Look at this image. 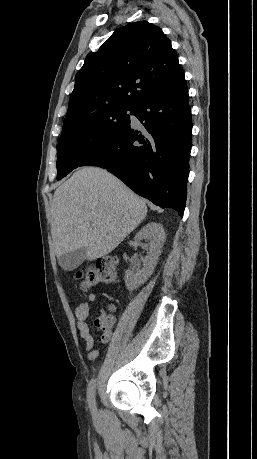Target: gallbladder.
Segmentation results:
<instances>
[{"label": "gallbladder", "mask_w": 257, "mask_h": 459, "mask_svg": "<svg viewBox=\"0 0 257 459\" xmlns=\"http://www.w3.org/2000/svg\"><path fill=\"white\" fill-rule=\"evenodd\" d=\"M85 257V248H80L62 255L58 258V262L62 268L71 271L76 269L85 260Z\"/></svg>", "instance_id": "1"}]
</instances>
